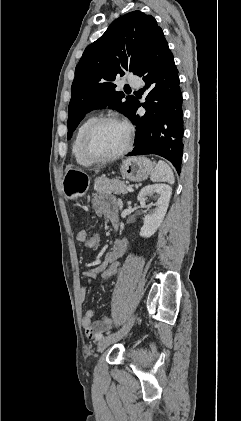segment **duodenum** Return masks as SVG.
I'll return each instance as SVG.
<instances>
[{
  "mask_svg": "<svg viewBox=\"0 0 241 421\" xmlns=\"http://www.w3.org/2000/svg\"><path fill=\"white\" fill-rule=\"evenodd\" d=\"M111 221H112L114 224H116V222H117V217H113V218L111 219Z\"/></svg>",
  "mask_w": 241,
  "mask_h": 421,
  "instance_id": "1",
  "label": "duodenum"
}]
</instances>
